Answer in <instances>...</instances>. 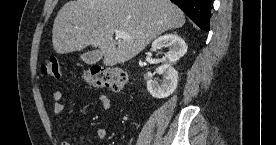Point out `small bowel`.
I'll use <instances>...</instances> for the list:
<instances>
[{"mask_svg":"<svg viewBox=\"0 0 276 145\" xmlns=\"http://www.w3.org/2000/svg\"><path fill=\"white\" fill-rule=\"evenodd\" d=\"M63 98H64V95L61 91H55L53 93V99H54L53 113L57 120L60 119L61 114L64 109ZM98 99H99V102L104 110H108L110 108V106H111L110 100L106 95L100 94L98 96ZM80 130H81V128L79 126H76L71 129H66V131L71 134H77L80 132ZM95 137L99 140H104L108 137V132L104 128H98L95 131ZM61 145H69V143L67 141H63L61 143Z\"/></svg>","mask_w":276,"mask_h":145,"instance_id":"obj_1","label":"small bowel"}]
</instances>
